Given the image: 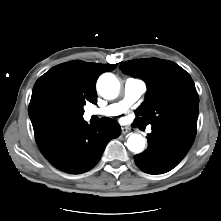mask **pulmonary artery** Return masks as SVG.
Masks as SVG:
<instances>
[{
	"label": "pulmonary artery",
	"mask_w": 221,
	"mask_h": 221,
	"mask_svg": "<svg viewBox=\"0 0 221 221\" xmlns=\"http://www.w3.org/2000/svg\"><path fill=\"white\" fill-rule=\"evenodd\" d=\"M146 91V84L140 79H128L123 87L124 98L118 103L110 104L103 108H93L87 111L88 116H106L113 117L122 114L133 103L141 98ZM151 132V128H148Z\"/></svg>",
	"instance_id": "pulmonary-artery-1"
}]
</instances>
